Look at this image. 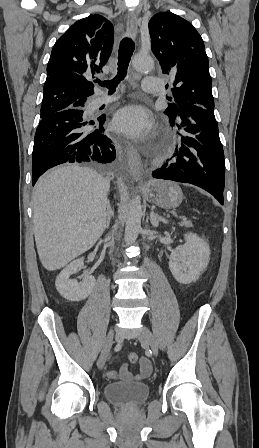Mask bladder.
Listing matches in <instances>:
<instances>
[{
	"mask_svg": "<svg viewBox=\"0 0 259 448\" xmlns=\"http://www.w3.org/2000/svg\"><path fill=\"white\" fill-rule=\"evenodd\" d=\"M150 393L146 383H109L104 387L106 399L119 407L131 408L144 403Z\"/></svg>",
	"mask_w": 259,
	"mask_h": 448,
	"instance_id": "obj_1",
	"label": "bladder"
}]
</instances>
